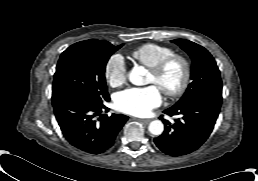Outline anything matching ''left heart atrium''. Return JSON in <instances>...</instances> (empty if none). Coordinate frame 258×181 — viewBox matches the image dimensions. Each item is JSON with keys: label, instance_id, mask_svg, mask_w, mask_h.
Listing matches in <instances>:
<instances>
[{"label": "left heart atrium", "instance_id": "1", "mask_svg": "<svg viewBox=\"0 0 258 181\" xmlns=\"http://www.w3.org/2000/svg\"><path fill=\"white\" fill-rule=\"evenodd\" d=\"M161 102V91L157 85L129 88L118 93L116 97L117 109L134 116L148 115Z\"/></svg>", "mask_w": 258, "mask_h": 181}]
</instances>
